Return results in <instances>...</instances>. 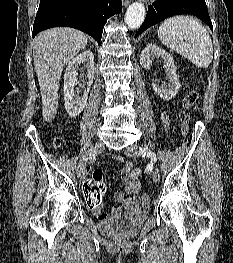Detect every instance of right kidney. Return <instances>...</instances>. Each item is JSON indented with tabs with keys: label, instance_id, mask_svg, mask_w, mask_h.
I'll use <instances>...</instances> for the list:
<instances>
[{
	"label": "right kidney",
	"instance_id": "1",
	"mask_svg": "<svg viewBox=\"0 0 233 263\" xmlns=\"http://www.w3.org/2000/svg\"><path fill=\"white\" fill-rule=\"evenodd\" d=\"M81 64L87 68V75L81 77L87 89L83 90V95H79V89H76L78 84V73ZM94 55L90 50H86L75 58H73L66 68L64 75V100L65 109L70 117L78 116L87 105L88 93L94 79ZM83 88V87H82Z\"/></svg>",
	"mask_w": 233,
	"mask_h": 263
}]
</instances>
